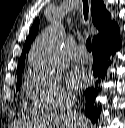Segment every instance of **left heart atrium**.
Returning a JSON list of instances; mask_svg holds the SVG:
<instances>
[{"instance_id": "left-heart-atrium-1", "label": "left heart atrium", "mask_w": 125, "mask_h": 128, "mask_svg": "<svg viewBox=\"0 0 125 128\" xmlns=\"http://www.w3.org/2000/svg\"><path fill=\"white\" fill-rule=\"evenodd\" d=\"M84 82H85L84 75L79 71H73L68 76V84L72 88H79L84 84Z\"/></svg>"}]
</instances>
